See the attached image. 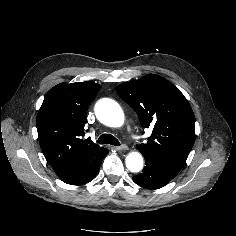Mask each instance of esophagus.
Returning <instances> with one entry per match:
<instances>
[{"label": "esophagus", "mask_w": 236, "mask_h": 236, "mask_svg": "<svg viewBox=\"0 0 236 236\" xmlns=\"http://www.w3.org/2000/svg\"><path fill=\"white\" fill-rule=\"evenodd\" d=\"M114 148L116 150H119V151H121V150H128V146H126V145L116 146Z\"/></svg>", "instance_id": "1"}]
</instances>
